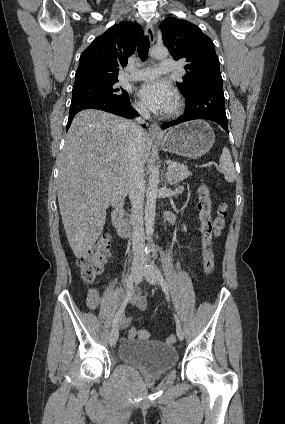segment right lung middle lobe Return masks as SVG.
<instances>
[{
	"label": "right lung middle lobe",
	"mask_w": 285,
	"mask_h": 424,
	"mask_svg": "<svg viewBox=\"0 0 285 424\" xmlns=\"http://www.w3.org/2000/svg\"><path fill=\"white\" fill-rule=\"evenodd\" d=\"M118 80L109 81H88L73 86V96L76 95H98L108 97L118 101H125L128 99V93L117 88L115 84Z\"/></svg>",
	"instance_id": "1"
}]
</instances>
